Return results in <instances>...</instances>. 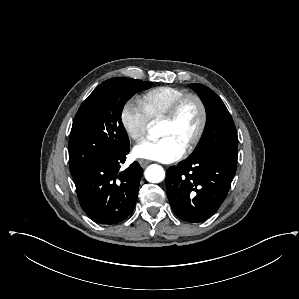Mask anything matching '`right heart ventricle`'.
<instances>
[{
    "label": "right heart ventricle",
    "mask_w": 299,
    "mask_h": 299,
    "mask_svg": "<svg viewBox=\"0 0 299 299\" xmlns=\"http://www.w3.org/2000/svg\"><path fill=\"white\" fill-rule=\"evenodd\" d=\"M185 93L186 90L178 87H156L142 95L139 103L150 121H159L167 114L172 104Z\"/></svg>",
    "instance_id": "1"
}]
</instances>
